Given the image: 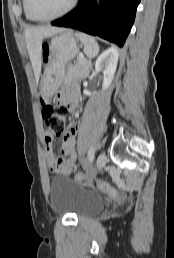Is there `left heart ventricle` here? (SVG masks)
<instances>
[{
    "mask_svg": "<svg viewBox=\"0 0 174 258\" xmlns=\"http://www.w3.org/2000/svg\"><path fill=\"white\" fill-rule=\"evenodd\" d=\"M33 13L39 17H49L66 9L72 0H30Z\"/></svg>",
    "mask_w": 174,
    "mask_h": 258,
    "instance_id": "b2bd125f",
    "label": "left heart ventricle"
}]
</instances>
